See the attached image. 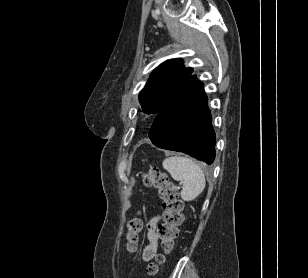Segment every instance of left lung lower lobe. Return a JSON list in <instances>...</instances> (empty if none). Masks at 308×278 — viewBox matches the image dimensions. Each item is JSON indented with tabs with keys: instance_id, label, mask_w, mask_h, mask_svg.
Listing matches in <instances>:
<instances>
[{
	"instance_id": "left-lung-lower-lobe-1",
	"label": "left lung lower lobe",
	"mask_w": 308,
	"mask_h": 278,
	"mask_svg": "<svg viewBox=\"0 0 308 278\" xmlns=\"http://www.w3.org/2000/svg\"><path fill=\"white\" fill-rule=\"evenodd\" d=\"M149 138L159 148L180 151L211 164L216 136L203 83L193 75L156 115Z\"/></svg>"
}]
</instances>
